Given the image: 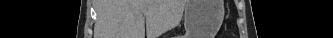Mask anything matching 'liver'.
Listing matches in <instances>:
<instances>
[{
	"instance_id": "1",
	"label": "liver",
	"mask_w": 333,
	"mask_h": 38,
	"mask_svg": "<svg viewBox=\"0 0 333 38\" xmlns=\"http://www.w3.org/2000/svg\"><path fill=\"white\" fill-rule=\"evenodd\" d=\"M182 0H168L166 2H156L151 0L142 7V34H144V17L143 14H146L147 19V30L151 26V18L153 16H158L160 18V23H163L164 26L176 21L182 14V7L179 4H182ZM144 8L148 9L145 11ZM112 15L113 12L106 11L102 16L97 25V30L105 32L108 35H113L112 29Z\"/></svg>"
}]
</instances>
